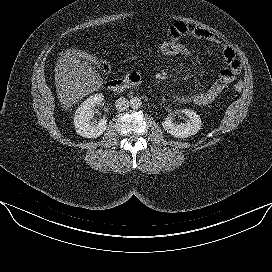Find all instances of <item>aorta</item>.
<instances>
[{
  "label": "aorta",
  "mask_w": 272,
  "mask_h": 272,
  "mask_svg": "<svg viewBox=\"0 0 272 272\" xmlns=\"http://www.w3.org/2000/svg\"><path fill=\"white\" fill-rule=\"evenodd\" d=\"M142 106V101L139 97H133L130 99V107L134 110L139 109Z\"/></svg>",
  "instance_id": "obj_1"
}]
</instances>
